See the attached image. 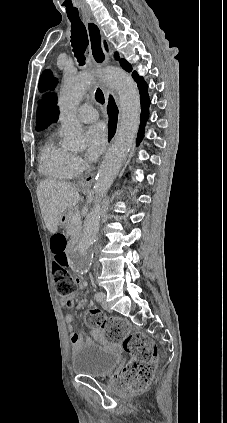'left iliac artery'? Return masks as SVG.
<instances>
[{"label":"left iliac artery","instance_id":"1","mask_svg":"<svg viewBox=\"0 0 227 423\" xmlns=\"http://www.w3.org/2000/svg\"><path fill=\"white\" fill-rule=\"evenodd\" d=\"M94 298H95L97 301H99V302H101V301L103 300V298H102V296H101V294H100V293H96V294H95V296H94Z\"/></svg>","mask_w":227,"mask_h":423}]
</instances>
